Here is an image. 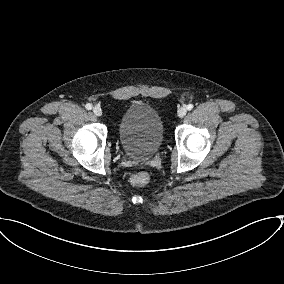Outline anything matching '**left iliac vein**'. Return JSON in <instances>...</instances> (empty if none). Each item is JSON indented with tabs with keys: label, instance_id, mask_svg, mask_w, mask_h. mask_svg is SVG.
Listing matches in <instances>:
<instances>
[{
	"label": "left iliac vein",
	"instance_id": "4c4485c4",
	"mask_svg": "<svg viewBox=\"0 0 284 284\" xmlns=\"http://www.w3.org/2000/svg\"><path fill=\"white\" fill-rule=\"evenodd\" d=\"M187 113V109L185 107H180L177 111V114L180 118L184 117Z\"/></svg>",
	"mask_w": 284,
	"mask_h": 284
}]
</instances>
